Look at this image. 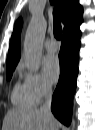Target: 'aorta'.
Wrapping results in <instances>:
<instances>
[{
	"label": "aorta",
	"mask_w": 95,
	"mask_h": 130,
	"mask_svg": "<svg viewBox=\"0 0 95 130\" xmlns=\"http://www.w3.org/2000/svg\"><path fill=\"white\" fill-rule=\"evenodd\" d=\"M45 32V19L41 16H33L26 31L23 54L27 67L34 72L40 67Z\"/></svg>",
	"instance_id": "1"
}]
</instances>
